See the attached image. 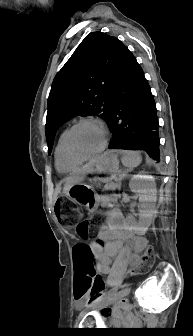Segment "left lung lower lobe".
I'll use <instances>...</instances> for the list:
<instances>
[{
  "label": "left lung lower lobe",
  "instance_id": "1",
  "mask_svg": "<svg viewBox=\"0 0 193 336\" xmlns=\"http://www.w3.org/2000/svg\"><path fill=\"white\" fill-rule=\"evenodd\" d=\"M107 124L112 132L109 149H142L160 161L155 101L142 68L128 48L113 89Z\"/></svg>",
  "mask_w": 193,
  "mask_h": 336
}]
</instances>
